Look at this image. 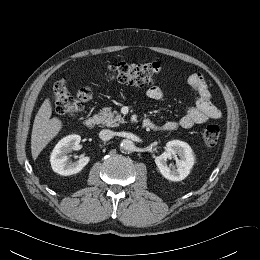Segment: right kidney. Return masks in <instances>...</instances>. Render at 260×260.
<instances>
[{
	"label": "right kidney",
	"instance_id": "right-kidney-1",
	"mask_svg": "<svg viewBox=\"0 0 260 260\" xmlns=\"http://www.w3.org/2000/svg\"><path fill=\"white\" fill-rule=\"evenodd\" d=\"M80 135L73 134L61 139L54 147L50 162L54 172L69 176L79 173L90 161L89 157H82L76 162L69 160L67 153L71 152L80 143Z\"/></svg>",
	"mask_w": 260,
	"mask_h": 260
}]
</instances>
